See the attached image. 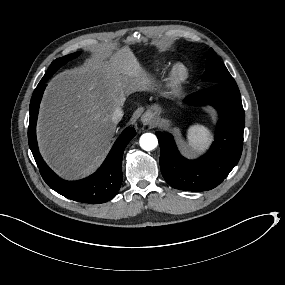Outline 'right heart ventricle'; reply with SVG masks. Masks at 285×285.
Instances as JSON below:
<instances>
[{"label":"right heart ventricle","instance_id":"1","mask_svg":"<svg viewBox=\"0 0 285 285\" xmlns=\"http://www.w3.org/2000/svg\"><path fill=\"white\" fill-rule=\"evenodd\" d=\"M167 74L166 67L159 61L154 62L149 69L144 70L142 78L150 79L153 77H164Z\"/></svg>","mask_w":285,"mask_h":285}]
</instances>
